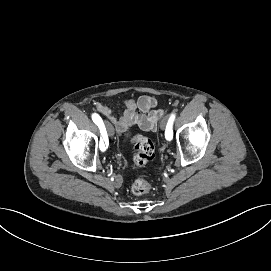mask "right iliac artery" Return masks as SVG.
Instances as JSON below:
<instances>
[{"label": "right iliac artery", "mask_w": 271, "mask_h": 271, "mask_svg": "<svg viewBox=\"0 0 271 271\" xmlns=\"http://www.w3.org/2000/svg\"><path fill=\"white\" fill-rule=\"evenodd\" d=\"M92 120L100 129L101 138L104 139V142H103L104 150H106V151L111 150V145H109L110 142H109V139H107V132H106V129H105V126H104V123H103L101 117L97 113H94V114H92Z\"/></svg>", "instance_id": "1"}]
</instances>
